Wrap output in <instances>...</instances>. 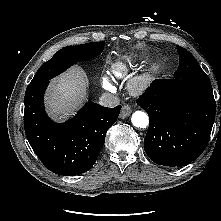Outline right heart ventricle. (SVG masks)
Masks as SVG:
<instances>
[{
    "mask_svg": "<svg viewBox=\"0 0 221 221\" xmlns=\"http://www.w3.org/2000/svg\"><path fill=\"white\" fill-rule=\"evenodd\" d=\"M126 72L127 68L121 63H116L112 66V73L118 78L124 77Z\"/></svg>",
    "mask_w": 221,
    "mask_h": 221,
    "instance_id": "right-heart-ventricle-1",
    "label": "right heart ventricle"
}]
</instances>
